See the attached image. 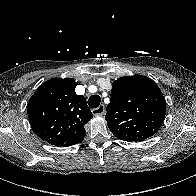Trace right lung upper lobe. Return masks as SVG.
Instances as JSON below:
<instances>
[{"label": "right lung upper lobe", "instance_id": "obj_1", "mask_svg": "<svg viewBox=\"0 0 196 196\" xmlns=\"http://www.w3.org/2000/svg\"><path fill=\"white\" fill-rule=\"evenodd\" d=\"M71 78H53L40 85L27 105L29 122L42 140L67 147L83 141L84 125L93 118Z\"/></svg>", "mask_w": 196, "mask_h": 196}]
</instances>
